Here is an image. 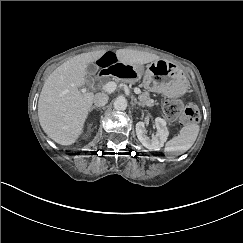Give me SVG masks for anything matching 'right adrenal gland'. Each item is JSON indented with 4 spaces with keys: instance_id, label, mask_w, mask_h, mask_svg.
<instances>
[{
    "instance_id": "obj_1",
    "label": "right adrenal gland",
    "mask_w": 243,
    "mask_h": 243,
    "mask_svg": "<svg viewBox=\"0 0 243 243\" xmlns=\"http://www.w3.org/2000/svg\"><path fill=\"white\" fill-rule=\"evenodd\" d=\"M94 109H97V107L96 106H91L90 112L93 111Z\"/></svg>"
}]
</instances>
